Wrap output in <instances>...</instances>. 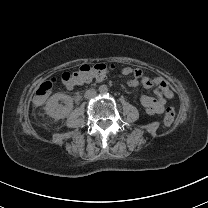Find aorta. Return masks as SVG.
<instances>
[{
    "label": "aorta",
    "mask_w": 208,
    "mask_h": 208,
    "mask_svg": "<svg viewBox=\"0 0 208 208\" xmlns=\"http://www.w3.org/2000/svg\"><path fill=\"white\" fill-rule=\"evenodd\" d=\"M98 91H99L100 94L105 95V94L108 93L109 88H108L107 85L102 84V85L99 86Z\"/></svg>",
    "instance_id": "aorta-1"
}]
</instances>
